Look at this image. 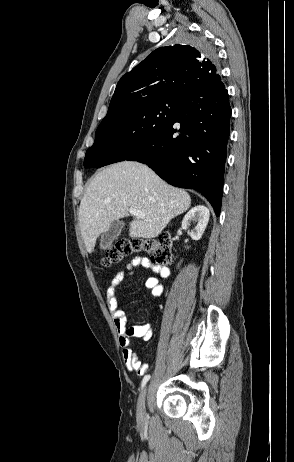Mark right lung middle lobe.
<instances>
[{
	"label": "right lung middle lobe",
	"instance_id": "obj_1",
	"mask_svg": "<svg viewBox=\"0 0 294 462\" xmlns=\"http://www.w3.org/2000/svg\"><path fill=\"white\" fill-rule=\"evenodd\" d=\"M179 41L203 52H214L212 45L203 36L184 32ZM182 100V96L165 95L107 114L98 126L95 142L87 150L85 158L100 153L105 165L125 160L170 122Z\"/></svg>",
	"mask_w": 294,
	"mask_h": 462
}]
</instances>
